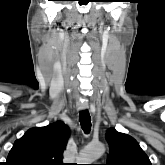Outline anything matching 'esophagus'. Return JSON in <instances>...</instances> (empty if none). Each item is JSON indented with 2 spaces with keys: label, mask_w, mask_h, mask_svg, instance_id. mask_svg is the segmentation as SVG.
Instances as JSON below:
<instances>
[{
  "label": "esophagus",
  "mask_w": 165,
  "mask_h": 165,
  "mask_svg": "<svg viewBox=\"0 0 165 165\" xmlns=\"http://www.w3.org/2000/svg\"><path fill=\"white\" fill-rule=\"evenodd\" d=\"M88 108V103L87 102H77V109L78 110H86Z\"/></svg>",
  "instance_id": "1"
}]
</instances>
